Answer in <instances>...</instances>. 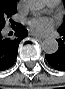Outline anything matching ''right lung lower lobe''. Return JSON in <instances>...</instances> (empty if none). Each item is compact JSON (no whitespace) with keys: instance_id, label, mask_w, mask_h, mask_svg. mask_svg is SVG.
Wrapping results in <instances>:
<instances>
[{"instance_id":"98d812e1","label":"right lung lower lobe","mask_w":65,"mask_h":89,"mask_svg":"<svg viewBox=\"0 0 65 89\" xmlns=\"http://www.w3.org/2000/svg\"><path fill=\"white\" fill-rule=\"evenodd\" d=\"M0 29V71L10 68L16 61L20 41L28 35L21 25L15 27V38L3 36Z\"/></svg>"}]
</instances>
